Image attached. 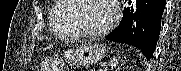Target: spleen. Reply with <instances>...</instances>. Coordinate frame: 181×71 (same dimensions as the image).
Segmentation results:
<instances>
[{"mask_svg":"<svg viewBox=\"0 0 181 71\" xmlns=\"http://www.w3.org/2000/svg\"><path fill=\"white\" fill-rule=\"evenodd\" d=\"M117 65H118V60H117V58L114 56V57L110 60L111 69L116 68Z\"/></svg>","mask_w":181,"mask_h":71,"instance_id":"3e777b00","label":"spleen"}]
</instances>
